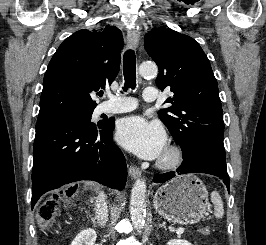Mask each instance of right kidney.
<instances>
[{"mask_svg":"<svg viewBox=\"0 0 266 245\" xmlns=\"http://www.w3.org/2000/svg\"><path fill=\"white\" fill-rule=\"evenodd\" d=\"M96 241V233L94 229H86V231H81L73 239L71 245H94Z\"/></svg>","mask_w":266,"mask_h":245,"instance_id":"1","label":"right kidney"}]
</instances>
